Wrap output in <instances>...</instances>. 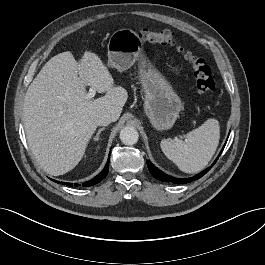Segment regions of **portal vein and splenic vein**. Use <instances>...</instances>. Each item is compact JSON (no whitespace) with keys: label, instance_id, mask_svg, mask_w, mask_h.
<instances>
[{"label":"portal vein and splenic vein","instance_id":"1","mask_svg":"<svg viewBox=\"0 0 265 265\" xmlns=\"http://www.w3.org/2000/svg\"><path fill=\"white\" fill-rule=\"evenodd\" d=\"M95 93H96V90L93 87H91L89 89V92L87 93V98L92 99L95 96Z\"/></svg>","mask_w":265,"mask_h":265}]
</instances>
